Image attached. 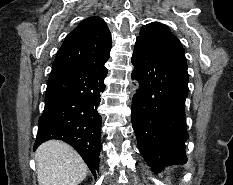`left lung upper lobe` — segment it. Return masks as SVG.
<instances>
[{
  "label": "left lung upper lobe",
  "mask_w": 233,
  "mask_h": 185,
  "mask_svg": "<svg viewBox=\"0 0 233 185\" xmlns=\"http://www.w3.org/2000/svg\"><path fill=\"white\" fill-rule=\"evenodd\" d=\"M137 40L143 41L162 53L186 61L184 49L180 41L164 24L152 22L143 26Z\"/></svg>",
  "instance_id": "left-lung-upper-lobe-1"
}]
</instances>
